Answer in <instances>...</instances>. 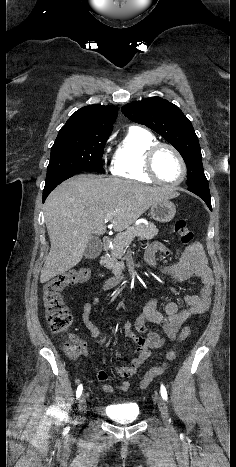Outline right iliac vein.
<instances>
[{
    "mask_svg": "<svg viewBox=\"0 0 236 467\" xmlns=\"http://www.w3.org/2000/svg\"><path fill=\"white\" fill-rule=\"evenodd\" d=\"M86 399H87V395L86 394H83L80 399H79V406H78V409L80 412H84L86 410ZM77 421L78 423H81L84 421V417L79 415L78 418H77Z\"/></svg>",
    "mask_w": 236,
    "mask_h": 467,
    "instance_id": "right-iliac-vein-1",
    "label": "right iliac vein"
}]
</instances>
